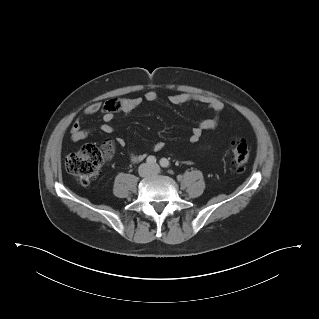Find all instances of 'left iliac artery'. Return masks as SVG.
Segmentation results:
<instances>
[{"label":"left iliac artery","mask_w":319,"mask_h":319,"mask_svg":"<svg viewBox=\"0 0 319 319\" xmlns=\"http://www.w3.org/2000/svg\"><path fill=\"white\" fill-rule=\"evenodd\" d=\"M160 165L162 166V167H168L169 165H170V163H169V161L166 159V158H162L161 160H160Z\"/></svg>","instance_id":"1"}]
</instances>
